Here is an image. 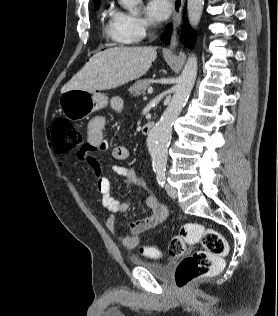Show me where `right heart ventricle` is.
<instances>
[{
  "instance_id": "obj_1",
  "label": "right heart ventricle",
  "mask_w": 278,
  "mask_h": 316,
  "mask_svg": "<svg viewBox=\"0 0 278 316\" xmlns=\"http://www.w3.org/2000/svg\"><path fill=\"white\" fill-rule=\"evenodd\" d=\"M103 30L106 37L116 44H126L127 42L119 33L115 19L114 11L108 10L105 13V21L103 24Z\"/></svg>"
}]
</instances>
